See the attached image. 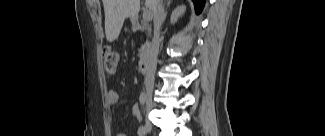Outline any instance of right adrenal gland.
Masks as SVG:
<instances>
[{"instance_id":"right-adrenal-gland-1","label":"right adrenal gland","mask_w":325,"mask_h":136,"mask_svg":"<svg viewBox=\"0 0 325 136\" xmlns=\"http://www.w3.org/2000/svg\"><path fill=\"white\" fill-rule=\"evenodd\" d=\"M165 2L167 3V6H169L170 3L172 2V0H166ZM166 16H167V11H164L163 12V21L166 19Z\"/></svg>"}]
</instances>
